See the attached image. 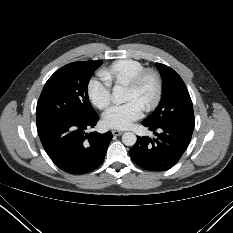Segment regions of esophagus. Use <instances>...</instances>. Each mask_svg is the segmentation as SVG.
<instances>
[{
    "instance_id": "obj_1",
    "label": "esophagus",
    "mask_w": 233,
    "mask_h": 233,
    "mask_svg": "<svg viewBox=\"0 0 233 233\" xmlns=\"http://www.w3.org/2000/svg\"><path fill=\"white\" fill-rule=\"evenodd\" d=\"M112 134H113L114 136H120V135L123 134V131H120V130H112Z\"/></svg>"
}]
</instances>
